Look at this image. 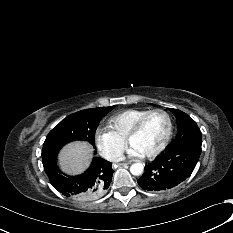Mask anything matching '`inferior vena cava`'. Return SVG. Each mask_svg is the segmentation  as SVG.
<instances>
[{"instance_id": "obj_1", "label": "inferior vena cava", "mask_w": 233, "mask_h": 233, "mask_svg": "<svg viewBox=\"0 0 233 233\" xmlns=\"http://www.w3.org/2000/svg\"><path fill=\"white\" fill-rule=\"evenodd\" d=\"M122 159H123V157L120 156V155H113V156L110 158V160H111V161H114V162L121 161Z\"/></svg>"}]
</instances>
